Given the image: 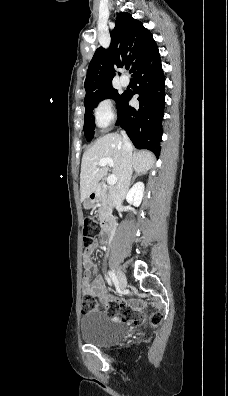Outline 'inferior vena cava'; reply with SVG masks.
Here are the masks:
<instances>
[{"label":"inferior vena cava","mask_w":228,"mask_h":396,"mask_svg":"<svg viewBox=\"0 0 228 396\" xmlns=\"http://www.w3.org/2000/svg\"><path fill=\"white\" fill-rule=\"evenodd\" d=\"M121 135L124 143V152H123V159H122L121 171L119 174L118 182L112 193V199L114 205L125 197L129 189L131 183V176H132V164H131L132 146L126 132L121 131Z\"/></svg>","instance_id":"602c4592"}]
</instances>
